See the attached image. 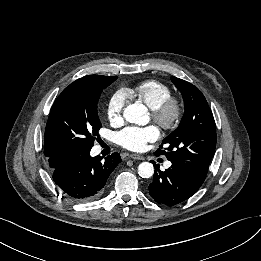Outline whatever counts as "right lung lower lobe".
<instances>
[{"label": "right lung lower lobe", "instance_id": "right-lung-lower-lobe-1", "mask_svg": "<svg viewBox=\"0 0 261 261\" xmlns=\"http://www.w3.org/2000/svg\"><path fill=\"white\" fill-rule=\"evenodd\" d=\"M121 161L116 152L101 162L99 156L91 157L88 151L54 169L52 177L65 197L86 202L100 195L111 172Z\"/></svg>", "mask_w": 261, "mask_h": 261}]
</instances>
